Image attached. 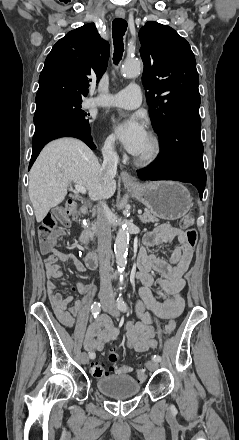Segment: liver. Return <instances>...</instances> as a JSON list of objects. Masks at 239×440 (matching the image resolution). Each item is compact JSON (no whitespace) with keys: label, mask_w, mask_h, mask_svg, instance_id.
<instances>
[{"label":"liver","mask_w":239,"mask_h":440,"mask_svg":"<svg viewBox=\"0 0 239 440\" xmlns=\"http://www.w3.org/2000/svg\"><path fill=\"white\" fill-rule=\"evenodd\" d=\"M92 150L76 138L47 144L29 172V198L37 222L63 202L70 182L83 186L90 200H108L116 192L115 180L104 182Z\"/></svg>","instance_id":"obj_1"}]
</instances>
